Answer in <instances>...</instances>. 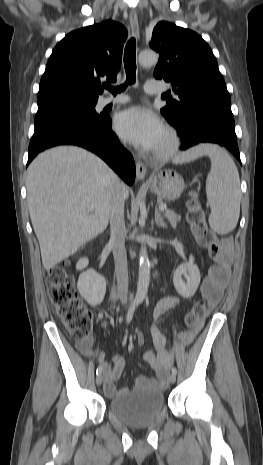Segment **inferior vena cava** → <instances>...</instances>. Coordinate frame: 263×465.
<instances>
[{"mask_svg":"<svg viewBox=\"0 0 263 465\" xmlns=\"http://www.w3.org/2000/svg\"><path fill=\"white\" fill-rule=\"evenodd\" d=\"M124 187L118 183L115 187L110 204V241L113 248L115 273L117 277L118 294L122 304L128 299V268L125 248L126 227L124 220Z\"/></svg>","mask_w":263,"mask_h":465,"instance_id":"inferior-vena-cava-1","label":"inferior vena cava"}]
</instances>
